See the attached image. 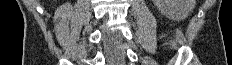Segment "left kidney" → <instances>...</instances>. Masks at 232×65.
I'll return each mask as SVG.
<instances>
[{"label": "left kidney", "instance_id": "1", "mask_svg": "<svg viewBox=\"0 0 232 65\" xmlns=\"http://www.w3.org/2000/svg\"><path fill=\"white\" fill-rule=\"evenodd\" d=\"M157 9L171 20H183L195 7V0H153Z\"/></svg>", "mask_w": 232, "mask_h": 65}]
</instances>
